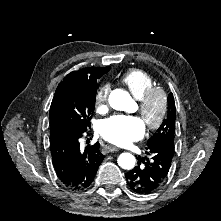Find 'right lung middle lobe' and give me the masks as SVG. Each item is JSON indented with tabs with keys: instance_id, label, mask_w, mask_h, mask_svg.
<instances>
[{
	"instance_id": "1",
	"label": "right lung middle lobe",
	"mask_w": 221,
	"mask_h": 221,
	"mask_svg": "<svg viewBox=\"0 0 221 221\" xmlns=\"http://www.w3.org/2000/svg\"><path fill=\"white\" fill-rule=\"evenodd\" d=\"M96 92L97 82L92 85L85 81L58 85L52 100L57 122L50 129V140L65 132L87 130L95 108Z\"/></svg>"
}]
</instances>
